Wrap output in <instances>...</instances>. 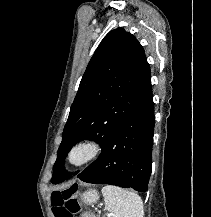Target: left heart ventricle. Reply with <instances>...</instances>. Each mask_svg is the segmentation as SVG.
I'll return each mask as SVG.
<instances>
[{"instance_id":"obj_1","label":"left heart ventricle","mask_w":211,"mask_h":217,"mask_svg":"<svg viewBox=\"0 0 211 217\" xmlns=\"http://www.w3.org/2000/svg\"><path fill=\"white\" fill-rule=\"evenodd\" d=\"M85 155V152L83 150H77L73 155V160L75 162L80 161Z\"/></svg>"}]
</instances>
